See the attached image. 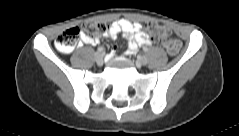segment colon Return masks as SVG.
Masks as SVG:
<instances>
[{
	"mask_svg": "<svg viewBox=\"0 0 239 136\" xmlns=\"http://www.w3.org/2000/svg\"><path fill=\"white\" fill-rule=\"evenodd\" d=\"M108 26L103 22H89L83 25L84 32L91 38H98L106 33ZM146 29L152 34L163 48L170 55H175L179 52L181 43L178 39L168 35L167 29L157 23H149ZM81 29L78 27L70 28L59 34L55 40L57 49L61 52H69L78 44Z\"/></svg>",
	"mask_w": 239,
	"mask_h": 136,
	"instance_id": "colon-1",
	"label": "colon"
}]
</instances>
